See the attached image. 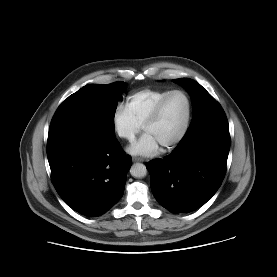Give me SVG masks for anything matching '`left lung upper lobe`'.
Returning a JSON list of instances; mask_svg holds the SVG:
<instances>
[{
    "label": "left lung upper lobe",
    "instance_id": "5c2ea615",
    "mask_svg": "<svg viewBox=\"0 0 277 277\" xmlns=\"http://www.w3.org/2000/svg\"><path fill=\"white\" fill-rule=\"evenodd\" d=\"M173 81L189 91L193 102V120L184 139L206 124L226 119L220 104L198 82L189 78Z\"/></svg>",
    "mask_w": 277,
    "mask_h": 277
}]
</instances>
